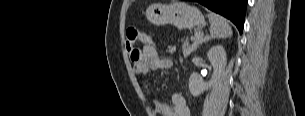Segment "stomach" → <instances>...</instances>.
Listing matches in <instances>:
<instances>
[{
	"label": "stomach",
	"instance_id": "stomach-1",
	"mask_svg": "<svg viewBox=\"0 0 305 116\" xmlns=\"http://www.w3.org/2000/svg\"><path fill=\"white\" fill-rule=\"evenodd\" d=\"M146 18L154 25L172 24L179 29L193 28L204 24V16L196 8L175 1L169 5L155 3L146 10Z\"/></svg>",
	"mask_w": 305,
	"mask_h": 116
}]
</instances>
